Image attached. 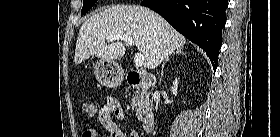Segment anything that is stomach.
Instances as JSON below:
<instances>
[{
  "mask_svg": "<svg viewBox=\"0 0 280 137\" xmlns=\"http://www.w3.org/2000/svg\"><path fill=\"white\" fill-rule=\"evenodd\" d=\"M95 75L104 86L116 87L122 82L123 70L115 61L101 59L95 65Z\"/></svg>",
  "mask_w": 280,
  "mask_h": 137,
  "instance_id": "1",
  "label": "stomach"
}]
</instances>
